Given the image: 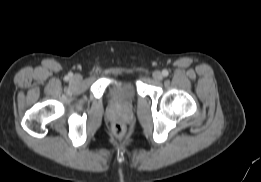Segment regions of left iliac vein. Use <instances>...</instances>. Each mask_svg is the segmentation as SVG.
<instances>
[{
    "label": "left iliac vein",
    "mask_w": 261,
    "mask_h": 182,
    "mask_svg": "<svg viewBox=\"0 0 261 182\" xmlns=\"http://www.w3.org/2000/svg\"><path fill=\"white\" fill-rule=\"evenodd\" d=\"M153 79L155 81H161L163 79V75L160 71H154L153 72Z\"/></svg>",
    "instance_id": "4c4485c4"
}]
</instances>
